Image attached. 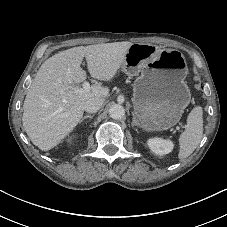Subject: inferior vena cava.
I'll return each mask as SVG.
<instances>
[{
    "instance_id": "inferior-vena-cava-1",
    "label": "inferior vena cava",
    "mask_w": 227,
    "mask_h": 227,
    "mask_svg": "<svg viewBox=\"0 0 227 227\" xmlns=\"http://www.w3.org/2000/svg\"><path fill=\"white\" fill-rule=\"evenodd\" d=\"M104 102V98H90L85 102L84 110L88 113L97 112Z\"/></svg>"
}]
</instances>
